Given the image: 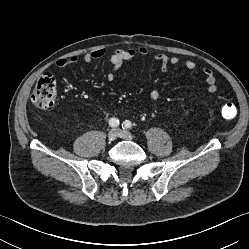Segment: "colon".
Wrapping results in <instances>:
<instances>
[{"mask_svg": "<svg viewBox=\"0 0 249 249\" xmlns=\"http://www.w3.org/2000/svg\"><path fill=\"white\" fill-rule=\"evenodd\" d=\"M56 80L50 73L43 74L37 81L32 92V103L40 110L50 109L55 102ZM222 116L231 119L236 115V108L232 104L222 106Z\"/></svg>", "mask_w": 249, "mask_h": 249, "instance_id": "colon-1", "label": "colon"}]
</instances>
